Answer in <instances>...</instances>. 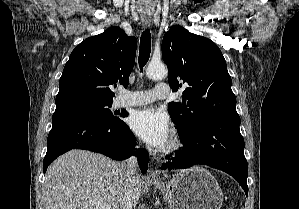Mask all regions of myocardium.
<instances>
[{
  "label": "myocardium",
  "instance_id": "f54148a6",
  "mask_svg": "<svg viewBox=\"0 0 299 209\" xmlns=\"http://www.w3.org/2000/svg\"><path fill=\"white\" fill-rule=\"evenodd\" d=\"M183 140L178 134H173L166 145L161 147L160 154L165 157H171L179 153L183 148Z\"/></svg>",
  "mask_w": 299,
  "mask_h": 209
}]
</instances>
